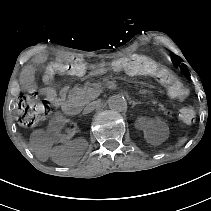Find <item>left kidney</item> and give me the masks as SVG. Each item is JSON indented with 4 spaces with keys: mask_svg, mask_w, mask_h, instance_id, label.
<instances>
[{
    "mask_svg": "<svg viewBox=\"0 0 211 211\" xmlns=\"http://www.w3.org/2000/svg\"><path fill=\"white\" fill-rule=\"evenodd\" d=\"M165 126H166V121L163 118H157L154 121L142 120L139 123L140 130L144 132H155L157 130L165 128Z\"/></svg>",
    "mask_w": 211,
    "mask_h": 211,
    "instance_id": "5707ae66",
    "label": "left kidney"
}]
</instances>
